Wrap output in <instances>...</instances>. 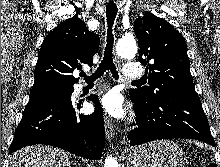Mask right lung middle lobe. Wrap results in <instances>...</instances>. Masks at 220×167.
<instances>
[{"instance_id":"obj_1","label":"right lung middle lobe","mask_w":220,"mask_h":167,"mask_svg":"<svg viewBox=\"0 0 220 167\" xmlns=\"http://www.w3.org/2000/svg\"><path fill=\"white\" fill-rule=\"evenodd\" d=\"M72 92H73V90H70V91L62 92L60 94H71Z\"/></svg>"}]
</instances>
